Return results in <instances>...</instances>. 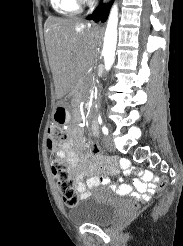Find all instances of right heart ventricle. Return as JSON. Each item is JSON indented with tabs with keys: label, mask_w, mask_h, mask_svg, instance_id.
Instances as JSON below:
<instances>
[{
	"label": "right heart ventricle",
	"mask_w": 183,
	"mask_h": 246,
	"mask_svg": "<svg viewBox=\"0 0 183 246\" xmlns=\"http://www.w3.org/2000/svg\"><path fill=\"white\" fill-rule=\"evenodd\" d=\"M52 9L63 16H72L79 12L77 0H50Z\"/></svg>",
	"instance_id": "e07e8e85"
}]
</instances>
